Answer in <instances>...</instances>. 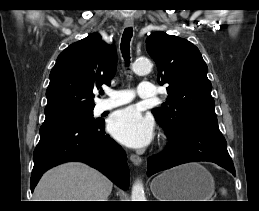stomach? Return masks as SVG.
Listing matches in <instances>:
<instances>
[{
	"mask_svg": "<svg viewBox=\"0 0 259 211\" xmlns=\"http://www.w3.org/2000/svg\"><path fill=\"white\" fill-rule=\"evenodd\" d=\"M150 188L158 201H210L215 183L203 166L189 163L159 174Z\"/></svg>",
	"mask_w": 259,
	"mask_h": 211,
	"instance_id": "0dacf381",
	"label": "stomach"
}]
</instances>
